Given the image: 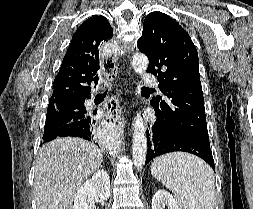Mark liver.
Masks as SVG:
<instances>
[{"label":"liver","mask_w":253,"mask_h":209,"mask_svg":"<svg viewBox=\"0 0 253 209\" xmlns=\"http://www.w3.org/2000/svg\"><path fill=\"white\" fill-rule=\"evenodd\" d=\"M102 161L100 149L81 138H57L43 145L35 165L37 209H72L76 192Z\"/></svg>","instance_id":"liver-1"}]
</instances>
